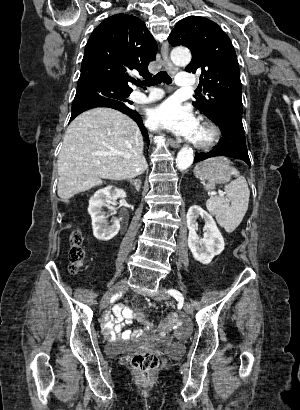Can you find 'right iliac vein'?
<instances>
[{"label":"right iliac vein","mask_w":300,"mask_h":410,"mask_svg":"<svg viewBox=\"0 0 300 410\" xmlns=\"http://www.w3.org/2000/svg\"><path fill=\"white\" fill-rule=\"evenodd\" d=\"M128 284L126 280H121L118 283H116L109 291L105 293L101 300V308H105L111 299L112 296L119 294L121 292H124L127 290Z\"/></svg>","instance_id":"right-iliac-vein-1"}]
</instances>
